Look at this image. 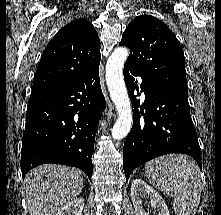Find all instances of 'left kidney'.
Instances as JSON below:
<instances>
[{
    "instance_id": "obj_1",
    "label": "left kidney",
    "mask_w": 221,
    "mask_h": 215,
    "mask_svg": "<svg viewBox=\"0 0 221 215\" xmlns=\"http://www.w3.org/2000/svg\"><path fill=\"white\" fill-rule=\"evenodd\" d=\"M145 196L150 198L151 207L158 211V215H169L168 207L160 194L143 180L135 179L131 184V200L136 215H148L142 207V198Z\"/></svg>"
}]
</instances>
